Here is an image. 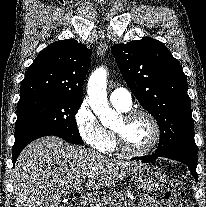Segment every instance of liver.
<instances>
[{
	"instance_id": "1",
	"label": "liver",
	"mask_w": 206,
	"mask_h": 207,
	"mask_svg": "<svg viewBox=\"0 0 206 207\" xmlns=\"http://www.w3.org/2000/svg\"><path fill=\"white\" fill-rule=\"evenodd\" d=\"M142 164L110 159L56 136L41 137L20 153L13 169L15 207H58L76 185L107 188Z\"/></svg>"
}]
</instances>
